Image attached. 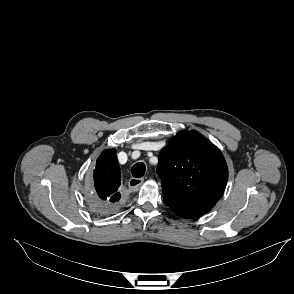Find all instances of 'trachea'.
Returning a JSON list of instances; mask_svg holds the SVG:
<instances>
[{"label":"trachea","mask_w":294,"mask_h":294,"mask_svg":"<svg viewBox=\"0 0 294 294\" xmlns=\"http://www.w3.org/2000/svg\"><path fill=\"white\" fill-rule=\"evenodd\" d=\"M145 170L146 167L143 162H138L131 168L132 175L135 178H141L145 174Z\"/></svg>","instance_id":"1"}]
</instances>
